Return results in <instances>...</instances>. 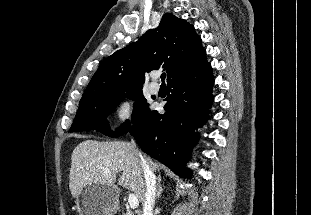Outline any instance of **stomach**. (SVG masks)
Returning <instances> with one entry per match:
<instances>
[{"label":"stomach","instance_id":"stomach-1","mask_svg":"<svg viewBox=\"0 0 311 215\" xmlns=\"http://www.w3.org/2000/svg\"><path fill=\"white\" fill-rule=\"evenodd\" d=\"M80 215H114L118 209V192L113 186L88 184L76 198Z\"/></svg>","mask_w":311,"mask_h":215}]
</instances>
